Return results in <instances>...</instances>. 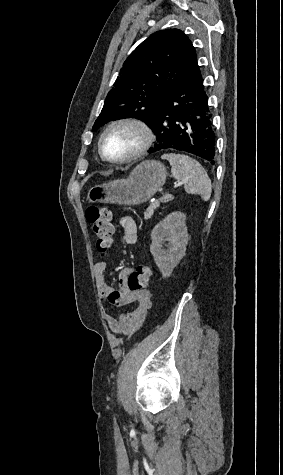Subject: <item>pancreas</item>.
<instances>
[{
  "mask_svg": "<svg viewBox=\"0 0 283 475\" xmlns=\"http://www.w3.org/2000/svg\"><path fill=\"white\" fill-rule=\"evenodd\" d=\"M171 200H174V196H171V194H168V196H163V198H160V200H156V202H152V204L148 206L146 212H144V220H149V218L153 216L154 210H156V208H159L160 204H166V202H171Z\"/></svg>",
  "mask_w": 283,
  "mask_h": 475,
  "instance_id": "obj_1",
  "label": "pancreas"
}]
</instances>
